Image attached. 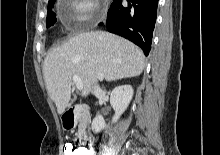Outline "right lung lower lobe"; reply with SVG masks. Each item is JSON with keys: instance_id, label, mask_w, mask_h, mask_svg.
<instances>
[{"instance_id": "obj_1", "label": "right lung lower lobe", "mask_w": 220, "mask_h": 155, "mask_svg": "<svg viewBox=\"0 0 220 155\" xmlns=\"http://www.w3.org/2000/svg\"><path fill=\"white\" fill-rule=\"evenodd\" d=\"M157 6L158 0H129L125 8L122 0H113L108 10L107 30L134 42L147 56L151 49Z\"/></svg>"}]
</instances>
